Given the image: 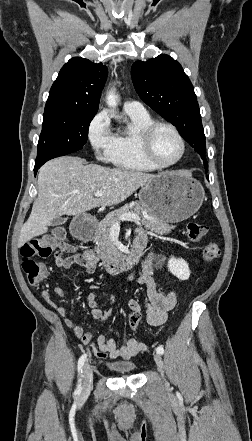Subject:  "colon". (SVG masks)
Wrapping results in <instances>:
<instances>
[{"instance_id": "obj_1", "label": "colon", "mask_w": 252, "mask_h": 441, "mask_svg": "<svg viewBox=\"0 0 252 441\" xmlns=\"http://www.w3.org/2000/svg\"><path fill=\"white\" fill-rule=\"evenodd\" d=\"M208 227L198 222H189L187 225V235L191 241L198 242L205 237ZM65 231L61 227L54 228L50 232L31 239L25 243L21 250V266L27 276L29 283L33 286H39L47 277L46 267L35 261V257L47 258L55 250H65L67 244L64 243ZM221 250L218 244L210 242L203 247L202 259L204 262H213L219 258ZM116 311L114 308L103 310L100 316L101 321L110 320ZM128 325L132 329H137L141 325L142 312L140 310L129 309L125 314ZM94 355L100 359L107 358L105 352L96 349Z\"/></svg>"}]
</instances>
